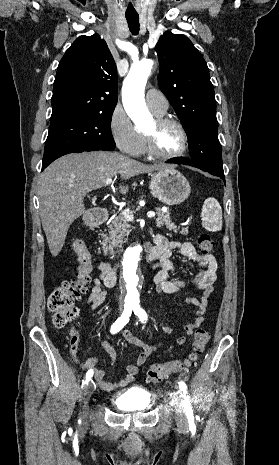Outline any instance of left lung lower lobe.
<instances>
[{"label": "left lung lower lobe", "mask_w": 279, "mask_h": 465, "mask_svg": "<svg viewBox=\"0 0 279 465\" xmlns=\"http://www.w3.org/2000/svg\"><path fill=\"white\" fill-rule=\"evenodd\" d=\"M167 163L187 164V165L199 168V169H201V170H203L205 172H208V173H210L212 175H215V174L211 173L210 171H208L207 169H205L204 167H202L200 164H198L196 162H193L191 160H187V159H170V160L167 161ZM216 176H219L225 182L224 176H222V175H216Z\"/></svg>", "instance_id": "1"}]
</instances>
